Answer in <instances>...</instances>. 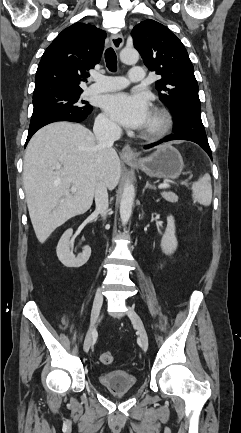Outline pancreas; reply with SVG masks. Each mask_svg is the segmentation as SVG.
<instances>
[{
    "mask_svg": "<svg viewBox=\"0 0 241 433\" xmlns=\"http://www.w3.org/2000/svg\"><path fill=\"white\" fill-rule=\"evenodd\" d=\"M161 195L168 202L175 203L178 201V196L173 192H162Z\"/></svg>",
    "mask_w": 241,
    "mask_h": 433,
    "instance_id": "pancreas-1",
    "label": "pancreas"
}]
</instances>
